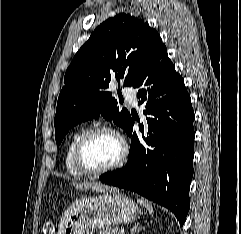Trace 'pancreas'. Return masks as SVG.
<instances>
[{
	"mask_svg": "<svg viewBox=\"0 0 241 234\" xmlns=\"http://www.w3.org/2000/svg\"><path fill=\"white\" fill-rule=\"evenodd\" d=\"M98 234H119V233H118V229L117 228L112 229V228L106 227V228L101 229L98 232Z\"/></svg>",
	"mask_w": 241,
	"mask_h": 234,
	"instance_id": "1",
	"label": "pancreas"
}]
</instances>
